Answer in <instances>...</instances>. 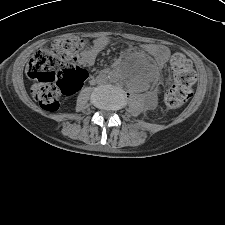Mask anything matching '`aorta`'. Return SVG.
Returning <instances> with one entry per match:
<instances>
[{"instance_id":"aorta-1","label":"aorta","mask_w":225,"mask_h":225,"mask_svg":"<svg viewBox=\"0 0 225 225\" xmlns=\"http://www.w3.org/2000/svg\"><path fill=\"white\" fill-rule=\"evenodd\" d=\"M109 80H110L111 82H116V81L118 80V78H117L116 75H110V76H109Z\"/></svg>"}]
</instances>
